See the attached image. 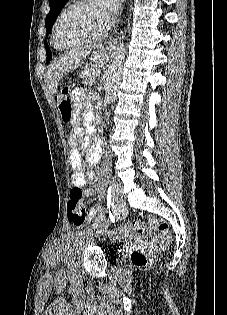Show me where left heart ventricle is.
Listing matches in <instances>:
<instances>
[{
  "mask_svg": "<svg viewBox=\"0 0 227 315\" xmlns=\"http://www.w3.org/2000/svg\"><path fill=\"white\" fill-rule=\"evenodd\" d=\"M105 25L100 6L92 0L66 14L58 27L57 42L60 46L81 43L100 32Z\"/></svg>",
  "mask_w": 227,
  "mask_h": 315,
  "instance_id": "b2bd125f",
  "label": "left heart ventricle"
}]
</instances>
